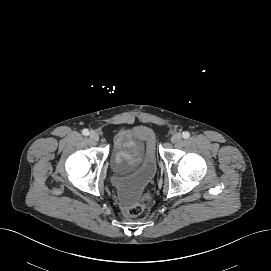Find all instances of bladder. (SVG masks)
<instances>
[{"instance_id":"31cf9c89","label":"bladder","mask_w":271,"mask_h":271,"mask_svg":"<svg viewBox=\"0 0 271 271\" xmlns=\"http://www.w3.org/2000/svg\"><path fill=\"white\" fill-rule=\"evenodd\" d=\"M138 134L146 136L143 130ZM148 146L141 161L128 172L121 175L116 169L113 170L112 186L115 194L122 204L128 205L139 198L143 190L150 184L157 172V158L152 137H147Z\"/></svg>"}]
</instances>
